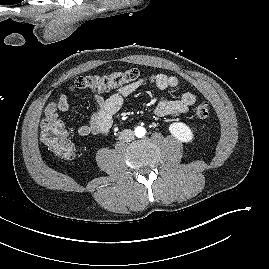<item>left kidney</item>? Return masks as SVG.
<instances>
[{"label":"left kidney","mask_w":269,"mask_h":269,"mask_svg":"<svg viewBox=\"0 0 269 269\" xmlns=\"http://www.w3.org/2000/svg\"><path fill=\"white\" fill-rule=\"evenodd\" d=\"M170 133L182 142H192L193 132L185 123L175 122L169 126Z\"/></svg>","instance_id":"1"}]
</instances>
